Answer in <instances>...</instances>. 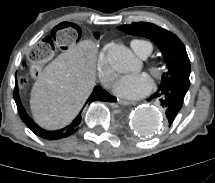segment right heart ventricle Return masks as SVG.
I'll return each mask as SVG.
<instances>
[{
    "label": "right heart ventricle",
    "mask_w": 215,
    "mask_h": 183,
    "mask_svg": "<svg viewBox=\"0 0 215 183\" xmlns=\"http://www.w3.org/2000/svg\"><path fill=\"white\" fill-rule=\"evenodd\" d=\"M130 45L133 51L141 58H147L153 51L152 43L145 39H133Z\"/></svg>",
    "instance_id": "right-heart-ventricle-1"
}]
</instances>
